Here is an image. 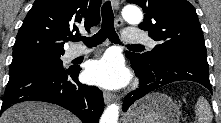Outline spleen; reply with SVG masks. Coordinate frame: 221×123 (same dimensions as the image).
<instances>
[{"instance_id": "spleen-1", "label": "spleen", "mask_w": 221, "mask_h": 123, "mask_svg": "<svg viewBox=\"0 0 221 123\" xmlns=\"http://www.w3.org/2000/svg\"><path fill=\"white\" fill-rule=\"evenodd\" d=\"M198 123H211L213 115L208 101L204 97H199L195 105Z\"/></svg>"}]
</instances>
